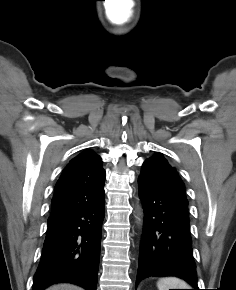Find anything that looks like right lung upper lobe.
Returning a JSON list of instances; mask_svg holds the SVG:
<instances>
[{"instance_id": "obj_1", "label": "right lung upper lobe", "mask_w": 236, "mask_h": 290, "mask_svg": "<svg viewBox=\"0 0 236 290\" xmlns=\"http://www.w3.org/2000/svg\"><path fill=\"white\" fill-rule=\"evenodd\" d=\"M102 159L85 150L65 167L55 186L52 212L48 224L96 201L104 196Z\"/></svg>"}]
</instances>
